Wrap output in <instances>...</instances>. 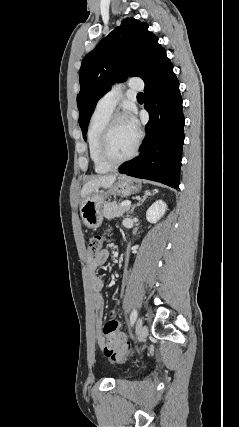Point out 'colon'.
Returning <instances> with one entry per match:
<instances>
[{
  "label": "colon",
  "instance_id": "obj_1",
  "mask_svg": "<svg viewBox=\"0 0 239 427\" xmlns=\"http://www.w3.org/2000/svg\"><path fill=\"white\" fill-rule=\"evenodd\" d=\"M104 237L100 235H95L89 239L87 244V251L90 257H94L101 250ZM119 291L118 289L116 290ZM116 300H122L123 294L116 293ZM103 334L105 337L106 344L104 346L105 356L111 358L115 361H120L123 358V355L126 352V344L124 343V335L119 330L118 322L110 318L104 325Z\"/></svg>",
  "mask_w": 239,
  "mask_h": 427
}]
</instances>
